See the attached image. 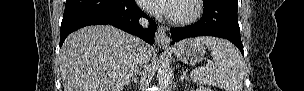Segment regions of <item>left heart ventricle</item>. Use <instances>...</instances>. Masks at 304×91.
Listing matches in <instances>:
<instances>
[{
  "label": "left heart ventricle",
  "mask_w": 304,
  "mask_h": 91,
  "mask_svg": "<svg viewBox=\"0 0 304 91\" xmlns=\"http://www.w3.org/2000/svg\"><path fill=\"white\" fill-rule=\"evenodd\" d=\"M192 11V5L190 1L187 0H180L176 1L174 4V9L172 16L179 17L190 14Z\"/></svg>",
  "instance_id": "left-heart-ventricle-1"
}]
</instances>
